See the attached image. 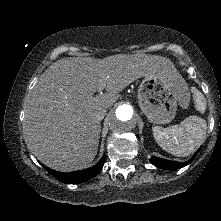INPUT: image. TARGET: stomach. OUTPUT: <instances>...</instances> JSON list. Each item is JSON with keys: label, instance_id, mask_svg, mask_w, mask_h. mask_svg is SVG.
Masks as SVG:
<instances>
[{"label": "stomach", "instance_id": "obj_1", "mask_svg": "<svg viewBox=\"0 0 221 221\" xmlns=\"http://www.w3.org/2000/svg\"><path fill=\"white\" fill-rule=\"evenodd\" d=\"M137 98L148 120L166 124L174 119L178 105L188 106L190 93L183 78L174 70L144 77Z\"/></svg>", "mask_w": 221, "mask_h": 221}]
</instances>
